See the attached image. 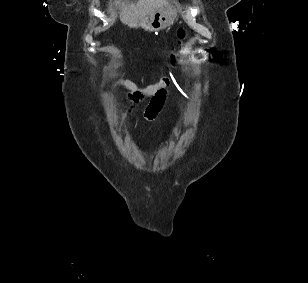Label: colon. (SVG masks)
Listing matches in <instances>:
<instances>
[{
    "mask_svg": "<svg viewBox=\"0 0 308 283\" xmlns=\"http://www.w3.org/2000/svg\"><path fill=\"white\" fill-rule=\"evenodd\" d=\"M177 36H178V45H182L186 36H187V33L184 29H179L178 32H177ZM175 53L172 54V59H175ZM163 81L165 82H168L167 79H163Z\"/></svg>",
    "mask_w": 308,
    "mask_h": 283,
    "instance_id": "colon-1",
    "label": "colon"
}]
</instances>
